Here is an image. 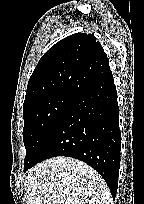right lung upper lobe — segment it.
<instances>
[{"label": "right lung upper lobe", "instance_id": "1", "mask_svg": "<svg viewBox=\"0 0 144 204\" xmlns=\"http://www.w3.org/2000/svg\"><path fill=\"white\" fill-rule=\"evenodd\" d=\"M110 76L108 58L95 36L70 35L39 60L28 82L23 110L56 94L76 95Z\"/></svg>", "mask_w": 144, "mask_h": 204}]
</instances>
